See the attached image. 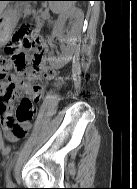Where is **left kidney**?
<instances>
[{
    "instance_id": "left-kidney-1",
    "label": "left kidney",
    "mask_w": 137,
    "mask_h": 189,
    "mask_svg": "<svg viewBox=\"0 0 137 189\" xmlns=\"http://www.w3.org/2000/svg\"><path fill=\"white\" fill-rule=\"evenodd\" d=\"M82 16V13L79 12L77 9L75 8H68L66 11H64L63 13H61V15L59 16L54 29H53V36H58V37H62V29L64 27L65 21L68 18H77L79 19ZM63 51V56L60 58H55L54 56H52V54L49 57V62L57 67H61L64 64H66L67 62H69L72 58V52L66 48H62Z\"/></svg>"
}]
</instances>
